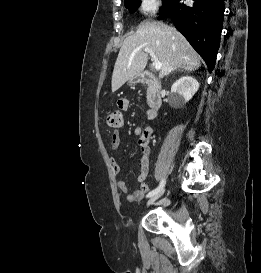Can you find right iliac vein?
<instances>
[{"mask_svg": "<svg viewBox=\"0 0 261 273\" xmlns=\"http://www.w3.org/2000/svg\"><path fill=\"white\" fill-rule=\"evenodd\" d=\"M164 191H165V189L162 188L160 191H158V192L155 193L153 196H151V197L148 199L146 205L149 206V205L153 204L157 199H159V198L163 195Z\"/></svg>", "mask_w": 261, "mask_h": 273, "instance_id": "1", "label": "right iliac vein"}]
</instances>
